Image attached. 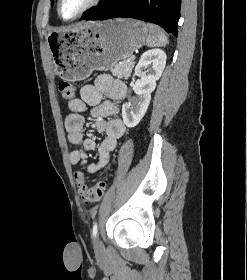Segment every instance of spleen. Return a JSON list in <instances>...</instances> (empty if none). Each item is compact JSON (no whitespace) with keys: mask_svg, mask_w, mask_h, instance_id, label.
<instances>
[{"mask_svg":"<svg viewBox=\"0 0 247 280\" xmlns=\"http://www.w3.org/2000/svg\"><path fill=\"white\" fill-rule=\"evenodd\" d=\"M149 35L146 39L148 47L165 46L167 44V37L162 29L154 24L148 23Z\"/></svg>","mask_w":247,"mask_h":280,"instance_id":"spleen-1","label":"spleen"}]
</instances>
